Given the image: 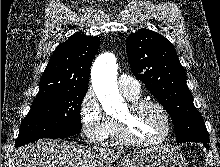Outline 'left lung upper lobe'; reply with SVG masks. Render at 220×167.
Wrapping results in <instances>:
<instances>
[{"instance_id":"5c2ea615","label":"left lung upper lobe","mask_w":220,"mask_h":167,"mask_svg":"<svg viewBox=\"0 0 220 167\" xmlns=\"http://www.w3.org/2000/svg\"><path fill=\"white\" fill-rule=\"evenodd\" d=\"M126 50L135 77L169 113L176 141L209 140L174 46L164 36L145 29L128 36Z\"/></svg>"}]
</instances>
